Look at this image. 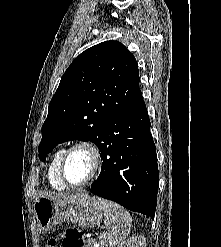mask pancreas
I'll use <instances>...</instances> for the list:
<instances>
[{
    "label": "pancreas",
    "instance_id": "cf45deb5",
    "mask_svg": "<svg viewBox=\"0 0 221 247\" xmlns=\"http://www.w3.org/2000/svg\"><path fill=\"white\" fill-rule=\"evenodd\" d=\"M88 247H94V240H92V239H88Z\"/></svg>",
    "mask_w": 221,
    "mask_h": 247
}]
</instances>
